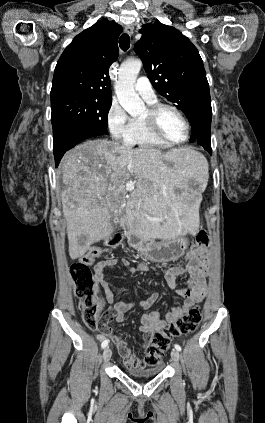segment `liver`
<instances>
[{
    "label": "liver",
    "mask_w": 265,
    "mask_h": 423,
    "mask_svg": "<svg viewBox=\"0 0 265 423\" xmlns=\"http://www.w3.org/2000/svg\"><path fill=\"white\" fill-rule=\"evenodd\" d=\"M60 169L72 259L112 234V216L125 211L130 218L133 208L139 214L138 232L145 240L176 238L199 228L198 204L191 201L187 184L205 185L208 164L189 147L163 153L105 139L89 140L66 153ZM128 182L136 186L129 195Z\"/></svg>",
    "instance_id": "6515ba94"
}]
</instances>
